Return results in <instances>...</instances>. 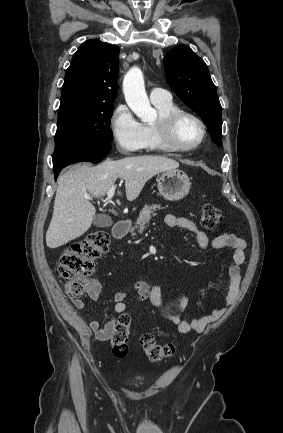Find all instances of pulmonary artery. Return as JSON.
<instances>
[{
    "label": "pulmonary artery",
    "instance_id": "obj_1",
    "mask_svg": "<svg viewBox=\"0 0 283 433\" xmlns=\"http://www.w3.org/2000/svg\"><path fill=\"white\" fill-rule=\"evenodd\" d=\"M149 98L153 104H156V103L166 102L171 100V95L166 90L159 89V88H152L149 90Z\"/></svg>",
    "mask_w": 283,
    "mask_h": 433
}]
</instances>
